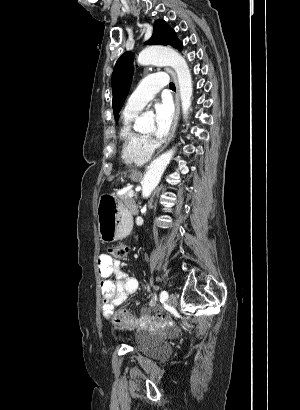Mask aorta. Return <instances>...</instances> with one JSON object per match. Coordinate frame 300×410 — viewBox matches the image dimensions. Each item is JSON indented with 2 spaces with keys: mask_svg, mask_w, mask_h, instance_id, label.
Here are the masks:
<instances>
[{
  "mask_svg": "<svg viewBox=\"0 0 300 410\" xmlns=\"http://www.w3.org/2000/svg\"><path fill=\"white\" fill-rule=\"evenodd\" d=\"M137 61L141 65H166L172 67L176 74L179 84L182 111L185 116L191 107V97L193 93L192 77L188 64L184 57L171 48L148 47L142 50ZM153 120L147 116H141L135 121V129L138 131H147L153 127ZM175 149H171L155 160L147 168L142 180V197L148 198L157 187L166 167L170 163Z\"/></svg>",
  "mask_w": 300,
  "mask_h": 410,
  "instance_id": "1",
  "label": "aorta"
}]
</instances>
